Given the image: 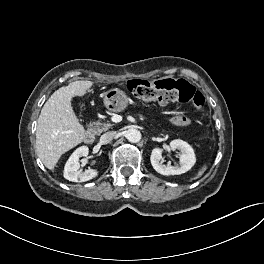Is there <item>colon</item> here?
Returning <instances> with one entry per match:
<instances>
[{
    "instance_id": "1",
    "label": "colon",
    "mask_w": 264,
    "mask_h": 264,
    "mask_svg": "<svg viewBox=\"0 0 264 264\" xmlns=\"http://www.w3.org/2000/svg\"><path fill=\"white\" fill-rule=\"evenodd\" d=\"M126 89L135 97L146 102L190 103L196 110L204 107L203 95L189 82L179 79H164L158 81L129 80Z\"/></svg>"
}]
</instances>
